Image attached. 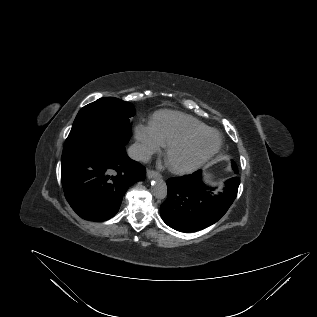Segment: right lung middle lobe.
Instances as JSON below:
<instances>
[{
  "instance_id": "dd1d6c3e",
  "label": "right lung middle lobe",
  "mask_w": 317,
  "mask_h": 317,
  "mask_svg": "<svg viewBox=\"0 0 317 317\" xmlns=\"http://www.w3.org/2000/svg\"><path fill=\"white\" fill-rule=\"evenodd\" d=\"M134 106L113 97L100 98L77 114L65 141L61 162L79 157L106 141L126 144L131 136Z\"/></svg>"
}]
</instances>
